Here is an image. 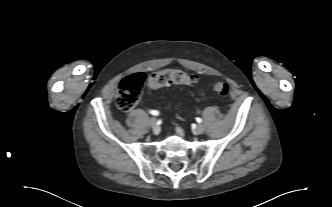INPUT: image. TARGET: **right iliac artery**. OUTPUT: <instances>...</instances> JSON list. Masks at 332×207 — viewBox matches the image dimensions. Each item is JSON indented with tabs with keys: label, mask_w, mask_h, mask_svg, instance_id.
Segmentation results:
<instances>
[{
	"label": "right iliac artery",
	"mask_w": 332,
	"mask_h": 207,
	"mask_svg": "<svg viewBox=\"0 0 332 207\" xmlns=\"http://www.w3.org/2000/svg\"><path fill=\"white\" fill-rule=\"evenodd\" d=\"M149 112H150V114L155 115V116L159 115V112L157 110H150Z\"/></svg>",
	"instance_id": "1"
}]
</instances>
